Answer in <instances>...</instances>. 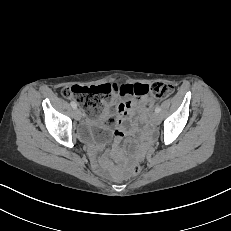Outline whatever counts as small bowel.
Wrapping results in <instances>:
<instances>
[{"label":"small bowel","mask_w":231,"mask_h":231,"mask_svg":"<svg viewBox=\"0 0 231 231\" xmlns=\"http://www.w3.org/2000/svg\"><path fill=\"white\" fill-rule=\"evenodd\" d=\"M120 88L132 87L133 84H120L118 85ZM123 101L117 107V117L115 119H111L109 123H106L111 117L109 112H106L102 115L99 120H86L85 125L89 129L100 130L102 132L101 140L97 141L93 145L92 153L96 154L100 150L103 149L105 140L109 133H112L114 137V148H117L126 134H133L135 132V119L136 116L134 114V109L137 105L136 97L133 93L126 92L123 90L122 92ZM106 106L109 108V103H106ZM95 165H98L96 159L93 160Z\"/></svg>","instance_id":"obj_1"}]
</instances>
